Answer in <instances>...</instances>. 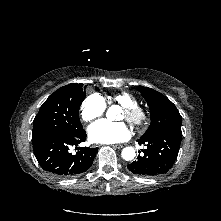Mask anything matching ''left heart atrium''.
<instances>
[{
  "instance_id": "left-heart-atrium-1",
  "label": "left heart atrium",
  "mask_w": 221,
  "mask_h": 221,
  "mask_svg": "<svg viewBox=\"0 0 221 221\" xmlns=\"http://www.w3.org/2000/svg\"><path fill=\"white\" fill-rule=\"evenodd\" d=\"M88 135L94 143L113 144L126 140L130 136V131L123 122L101 120L89 127Z\"/></svg>"
}]
</instances>
